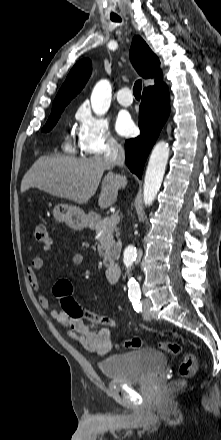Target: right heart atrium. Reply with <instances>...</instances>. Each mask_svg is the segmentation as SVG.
<instances>
[{
  "instance_id": "obj_1",
  "label": "right heart atrium",
  "mask_w": 221,
  "mask_h": 440,
  "mask_svg": "<svg viewBox=\"0 0 221 440\" xmlns=\"http://www.w3.org/2000/svg\"><path fill=\"white\" fill-rule=\"evenodd\" d=\"M76 119L79 123L78 144L84 154L102 155L119 148V142L104 117L95 115L87 106H81Z\"/></svg>"
}]
</instances>
